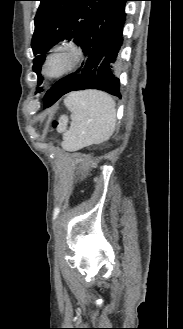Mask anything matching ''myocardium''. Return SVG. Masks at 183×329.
Wrapping results in <instances>:
<instances>
[{"label":"myocardium","instance_id":"1","mask_svg":"<svg viewBox=\"0 0 183 329\" xmlns=\"http://www.w3.org/2000/svg\"><path fill=\"white\" fill-rule=\"evenodd\" d=\"M65 51L71 53V55H72L71 62L68 64V66H66L64 69L54 72V73L49 72L48 65H49L51 59L55 55H57L61 52H65ZM83 58H84V50L79 43L72 41V40L61 41V42L55 44L54 46H52L48 50L46 57L44 59L43 65H42V75L48 79L61 78L65 75L69 74L73 70H75L80 65Z\"/></svg>","mask_w":183,"mask_h":329}]
</instances>
